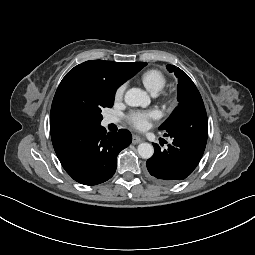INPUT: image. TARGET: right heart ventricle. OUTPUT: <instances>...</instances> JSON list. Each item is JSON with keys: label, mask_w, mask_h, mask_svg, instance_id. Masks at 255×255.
I'll return each instance as SVG.
<instances>
[{"label": "right heart ventricle", "mask_w": 255, "mask_h": 255, "mask_svg": "<svg viewBox=\"0 0 255 255\" xmlns=\"http://www.w3.org/2000/svg\"><path fill=\"white\" fill-rule=\"evenodd\" d=\"M141 83L152 94L159 93L167 83V79L162 72L156 69H149L142 73Z\"/></svg>", "instance_id": "right-heart-ventricle-1"}]
</instances>
